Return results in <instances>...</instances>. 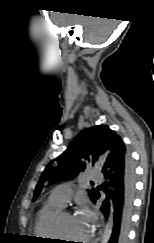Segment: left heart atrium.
<instances>
[{
	"mask_svg": "<svg viewBox=\"0 0 154 243\" xmlns=\"http://www.w3.org/2000/svg\"><path fill=\"white\" fill-rule=\"evenodd\" d=\"M76 218L81 220L87 226L89 231L93 227L95 216L88 207H81L77 213Z\"/></svg>",
	"mask_w": 154,
	"mask_h": 243,
	"instance_id": "39dd6f15",
	"label": "left heart atrium"
}]
</instances>
